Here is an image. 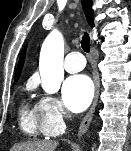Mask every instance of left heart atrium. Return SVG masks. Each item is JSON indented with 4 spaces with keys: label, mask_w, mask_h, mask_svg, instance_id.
<instances>
[{
    "label": "left heart atrium",
    "mask_w": 131,
    "mask_h": 151,
    "mask_svg": "<svg viewBox=\"0 0 131 151\" xmlns=\"http://www.w3.org/2000/svg\"><path fill=\"white\" fill-rule=\"evenodd\" d=\"M93 93L92 80L83 74L69 77L62 87L63 101L73 112L83 111L90 104Z\"/></svg>",
    "instance_id": "39dd6f15"
}]
</instances>
